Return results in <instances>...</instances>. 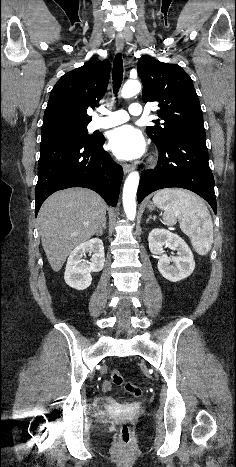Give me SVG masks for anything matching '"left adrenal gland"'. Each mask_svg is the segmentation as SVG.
<instances>
[{
	"label": "left adrenal gland",
	"instance_id": "left-adrenal-gland-1",
	"mask_svg": "<svg viewBox=\"0 0 236 467\" xmlns=\"http://www.w3.org/2000/svg\"><path fill=\"white\" fill-rule=\"evenodd\" d=\"M150 220H156V217H152L151 215L148 216L146 223H148Z\"/></svg>",
	"mask_w": 236,
	"mask_h": 467
}]
</instances>
